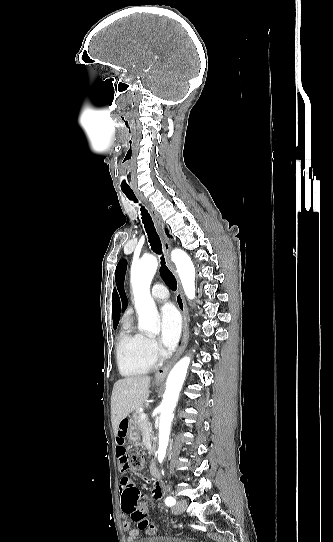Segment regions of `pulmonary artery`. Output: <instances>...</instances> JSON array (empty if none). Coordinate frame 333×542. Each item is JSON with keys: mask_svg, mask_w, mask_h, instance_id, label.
<instances>
[{"mask_svg": "<svg viewBox=\"0 0 333 542\" xmlns=\"http://www.w3.org/2000/svg\"><path fill=\"white\" fill-rule=\"evenodd\" d=\"M165 287L161 283H155L150 291V296L159 303H162L168 299V295H164Z\"/></svg>", "mask_w": 333, "mask_h": 542, "instance_id": "obj_1", "label": "pulmonary artery"}]
</instances>
